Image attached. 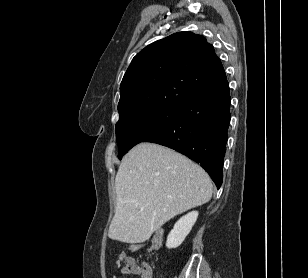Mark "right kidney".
I'll list each match as a JSON object with an SVG mask.
<instances>
[{
	"mask_svg": "<svg viewBox=\"0 0 308 278\" xmlns=\"http://www.w3.org/2000/svg\"><path fill=\"white\" fill-rule=\"evenodd\" d=\"M198 217L197 211H192L187 215L180 218L174 228L171 230L167 237L166 246L169 249L177 248L182 244L186 236L190 233L193 225Z\"/></svg>",
	"mask_w": 308,
	"mask_h": 278,
	"instance_id": "1",
	"label": "right kidney"
}]
</instances>
